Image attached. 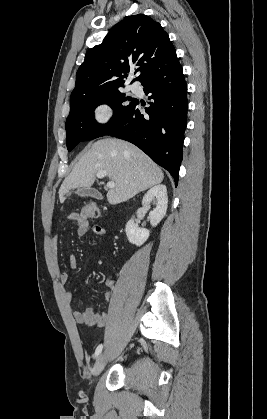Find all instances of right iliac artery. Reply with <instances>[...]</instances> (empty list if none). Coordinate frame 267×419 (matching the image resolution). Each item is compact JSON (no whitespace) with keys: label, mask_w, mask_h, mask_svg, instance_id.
Masks as SVG:
<instances>
[{"label":"right iliac artery","mask_w":267,"mask_h":419,"mask_svg":"<svg viewBox=\"0 0 267 419\" xmlns=\"http://www.w3.org/2000/svg\"><path fill=\"white\" fill-rule=\"evenodd\" d=\"M102 348H103V345L102 344H100V345H98V347L96 348V350H95V354H94V358H97L98 357V355L101 353V351H102Z\"/></svg>","instance_id":"82829eb1"}]
</instances>
